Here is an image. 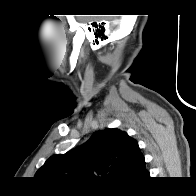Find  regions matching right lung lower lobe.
Returning <instances> with one entry per match:
<instances>
[{
	"mask_svg": "<svg viewBox=\"0 0 196 196\" xmlns=\"http://www.w3.org/2000/svg\"><path fill=\"white\" fill-rule=\"evenodd\" d=\"M149 176V174L145 177V178H147ZM137 184V183H136Z\"/></svg>",
	"mask_w": 196,
	"mask_h": 196,
	"instance_id": "98d812e1",
	"label": "right lung lower lobe"
}]
</instances>
